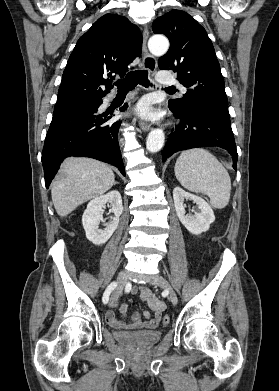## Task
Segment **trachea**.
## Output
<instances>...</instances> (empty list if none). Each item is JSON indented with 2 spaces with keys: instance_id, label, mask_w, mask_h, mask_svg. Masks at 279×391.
Listing matches in <instances>:
<instances>
[{
  "instance_id": "trachea-1",
  "label": "trachea",
  "mask_w": 279,
  "mask_h": 391,
  "mask_svg": "<svg viewBox=\"0 0 279 391\" xmlns=\"http://www.w3.org/2000/svg\"><path fill=\"white\" fill-rule=\"evenodd\" d=\"M148 87L150 82L148 80V73L146 70H136L129 73L126 78L119 80L115 83L119 92L129 91L134 89L137 84ZM167 89H174V87H168Z\"/></svg>"
}]
</instances>
